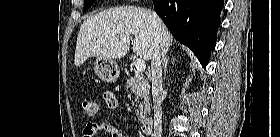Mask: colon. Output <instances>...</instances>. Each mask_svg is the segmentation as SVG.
Segmentation results:
<instances>
[{"mask_svg": "<svg viewBox=\"0 0 280 137\" xmlns=\"http://www.w3.org/2000/svg\"><path fill=\"white\" fill-rule=\"evenodd\" d=\"M105 96L108 98H112L111 94H105ZM82 109L88 116L93 117L98 113L99 105L93 100L85 99L82 101Z\"/></svg>", "mask_w": 280, "mask_h": 137, "instance_id": "1", "label": "colon"}]
</instances>
